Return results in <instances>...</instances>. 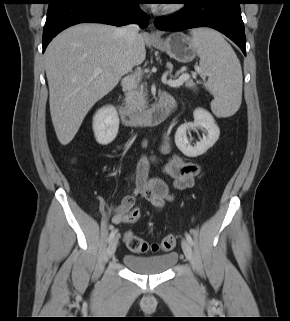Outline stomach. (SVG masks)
<instances>
[{
  "label": "stomach",
  "mask_w": 290,
  "mask_h": 321,
  "mask_svg": "<svg viewBox=\"0 0 290 321\" xmlns=\"http://www.w3.org/2000/svg\"><path fill=\"white\" fill-rule=\"evenodd\" d=\"M151 44L180 63L191 62L197 52L192 40L183 33H172L165 40L158 39Z\"/></svg>",
  "instance_id": "stomach-1"
}]
</instances>
